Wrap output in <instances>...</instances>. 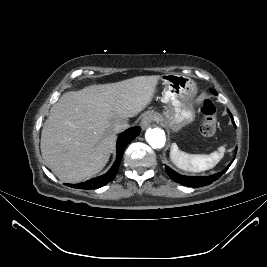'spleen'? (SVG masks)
<instances>
[{
    "instance_id": "1",
    "label": "spleen",
    "mask_w": 267,
    "mask_h": 267,
    "mask_svg": "<svg viewBox=\"0 0 267 267\" xmlns=\"http://www.w3.org/2000/svg\"><path fill=\"white\" fill-rule=\"evenodd\" d=\"M225 145L220 146L217 151L208 155L204 154H188L181 151L178 146L173 143L170 151L172 162L181 170L188 172H203L212 169L223 158L225 153Z\"/></svg>"
}]
</instances>
